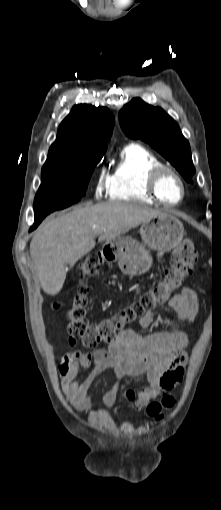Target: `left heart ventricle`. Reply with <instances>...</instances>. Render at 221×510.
I'll use <instances>...</instances> for the list:
<instances>
[{
    "instance_id": "obj_1",
    "label": "left heart ventricle",
    "mask_w": 221,
    "mask_h": 510,
    "mask_svg": "<svg viewBox=\"0 0 221 510\" xmlns=\"http://www.w3.org/2000/svg\"><path fill=\"white\" fill-rule=\"evenodd\" d=\"M161 197L168 202H177L180 200L182 190L179 182L171 174H165L158 185Z\"/></svg>"
}]
</instances>
